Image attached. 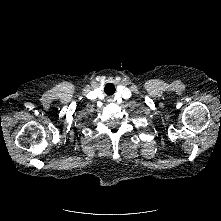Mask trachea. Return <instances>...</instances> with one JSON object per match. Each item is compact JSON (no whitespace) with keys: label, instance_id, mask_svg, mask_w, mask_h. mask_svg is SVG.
Segmentation results:
<instances>
[{"label":"trachea","instance_id":"3493384b","mask_svg":"<svg viewBox=\"0 0 221 221\" xmlns=\"http://www.w3.org/2000/svg\"><path fill=\"white\" fill-rule=\"evenodd\" d=\"M107 86H113V85H111V84H108Z\"/></svg>","mask_w":221,"mask_h":221}]
</instances>
